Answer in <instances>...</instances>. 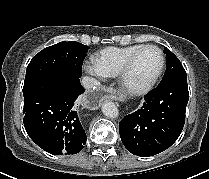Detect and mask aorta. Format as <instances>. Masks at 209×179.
I'll use <instances>...</instances> for the list:
<instances>
[{"mask_svg": "<svg viewBox=\"0 0 209 179\" xmlns=\"http://www.w3.org/2000/svg\"><path fill=\"white\" fill-rule=\"evenodd\" d=\"M102 112L108 118H116L119 114L118 108L111 101H106L103 103Z\"/></svg>", "mask_w": 209, "mask_h": 179, "instance_id": "obj_1", "label": "aorta"}]
</instances>
